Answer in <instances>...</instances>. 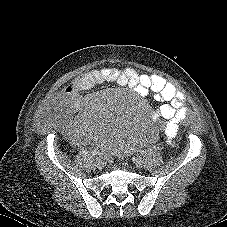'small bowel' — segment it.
<instances>
[{
	"instance_id": "1",
	"label": "small bowel",
	"mask_w": 227,
	"mask_h": 227,
	"mask_svg": "<svg viewBox=\"0 0 227 227\" xmlns=\"http://www.w3.org/2000/svg\"><path fill=\"white\" fill-rule=\"evenodd\" d=\"M104 82L128 86L140 97H145L152 92L155 98L162 103L154 111L153 119L160 122V128L165 134L167 143L172 144L174 142L178 134L176 125L187 114L184 94L173 83L160 75L139 74L133 68L117 70L112 67H105L92 70L75 77L70 85L54 97L53 101H59L71 109L82 110L88 103V100L83 98L82 93ZM59 128L67 133L76 145H82L87 140L86 128L89 127L84 114L75 120L68 117L62 118L59 122ZM90 130L93 131V129Z\"/></svg>"
}]
</instances>
